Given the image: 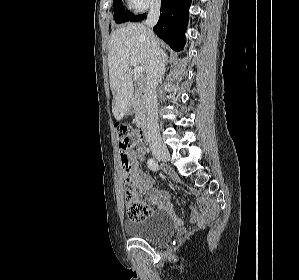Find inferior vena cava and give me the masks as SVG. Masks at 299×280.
Segmentation results:
<instances>
[{"label":"inferior vena cava","instance_id":"602c4592","mask_svg":"<svg viewBox=\"0 0 299 280\" xmlns=\"http://www.w3.org/2000/svg\"><path fill=\"white\" fill-rule=\"evenodd\" d=\"M160 15V1L155 0L151 5L145 24L150 38V62L146 71V82L144 89V100L147 111V134L150 145L160 144L161 137L157 114V92L158 83L163 79L165 73V53L159 48L156 38L151 30L156 25Z\"/></svg>","mask_w":299,"mask_h":280}]
</instances>
